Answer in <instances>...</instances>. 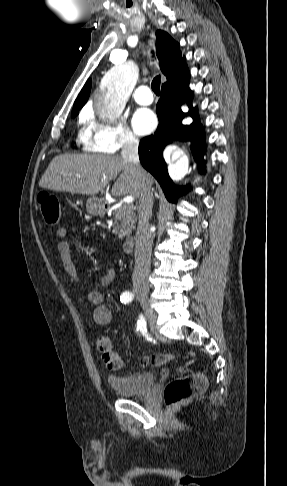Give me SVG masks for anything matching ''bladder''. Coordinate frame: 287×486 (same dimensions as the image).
I'll list each match as a JSON object with an SVG mask.
<instances>
[{"mask_svg":"<svg viewBox=\"0 0 287 486\" xmlns=\"http://www.w3.org/2000/svg\"><path fill=\"white\" fill-rule=\"evenodd\" d=\"M107 382L118 395L132 397L148 393L155 383V376L151 373L109 375Z\"/></svg>","mask_w":287,"mask_h":486,"instance_id":"bladder-1","label":"bladder"}]
</instances>
